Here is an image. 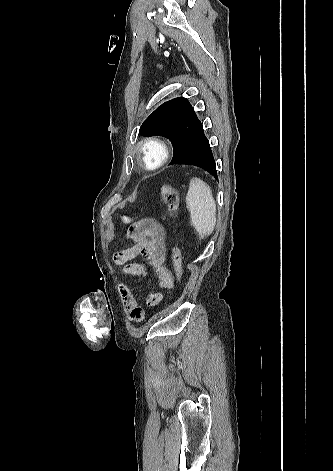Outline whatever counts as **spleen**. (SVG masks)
I'll return each instance as SVG.
<instances>
[{
  "label": "spleen",
  "mask_w": 333,
  "mask_h": 471,
  "mask_svg": "<svg viewBox=\"0 0 333 471\" xmlns=\"http://www.w3.org/2000/svg\"><path fill=\"white\" fill-rule=\"evenodd\" d=\"M186 205L199 236L211 235L216 225V204L211 188L201 179L192 178L186 195Z\"/></svg>",
  "instance_id": "3e777b00"
}]
</instances>
